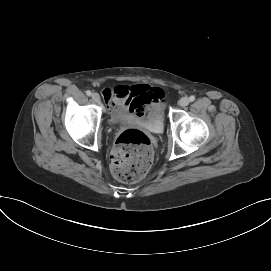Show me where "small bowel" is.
I'll return each mask as SVG.
<instances>
[{
    "label": "small bowel",
    "instance_id": "1",
    "mask_svg": "<svg viewBox=\"0 0 271 271\" xmlns=\"http://www.w3.org/2000/svg\"><path fill=\"white\" fill-rule=\"evenodd\" d=\"M102 95L112 112L115 108H119L124 113L142 118L147 115L149 107L153 110L160 107L164 92L158 87L138 84L131 88L106 87L102 90Z\"/></svg>",
    "mask_w": 271,
    "mask_h": 271
}]
</instances>
